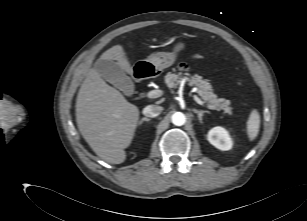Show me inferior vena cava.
Here are the masks:
<instances>
[{"label":"inferior vena cava","instance_id":"1","mask_svg":"<svg viewBox=\"0 0 307 221\" xmlns=\"http://www.w3.org/2000/svg\"><path fill=\"white\" fill-rule=\"evenodd\" d=\"M163 108L157 105H148L143 109V114L147 117H156L162 112Z\"/></svg>","mask_w":307,"mask_h":221}]
</instances>
